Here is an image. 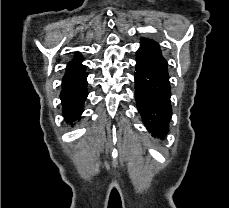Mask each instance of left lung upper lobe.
<instances>
[{"instance_id": "left-lung-upper-lobe-1", "label": "left lung upper lobe", "mask_w": 229, "mask_h": 208, "mask_svg": "<svg viewBox=\"0 0 229 208\" xmlns=\"http://www.w3.org/2000/svg\"><path fill=\"white\" fill-rule=\"evenodd\" d=\"M136 55L137 60L143 61L148 65L157 78L169 83L167 62L163 58L157 42L141 38V46Z\"/></svg>"}]
</instances>
